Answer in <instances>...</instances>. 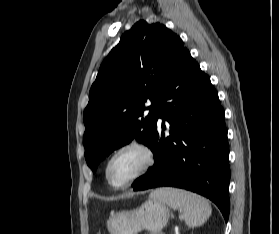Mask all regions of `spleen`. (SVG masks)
Masks as SVG:
<instances>
[{
    "mask_svg": "<svg viewBox=\"0 0 279 234\" xmlns=\"http://www.w3.org/2000/svg\"><path fill=\"white\" fill-rule=\"evenodd\" d=\"M150 197L180 210L188 227H200L212 213L205 198L182 189L160 188L152 192Z\"/></svg>",
    "mask_w": 279,
    "mask_h": 234,
    "instance_id": "3e777b00",
    "label": "spleen"
}]
</instances>
